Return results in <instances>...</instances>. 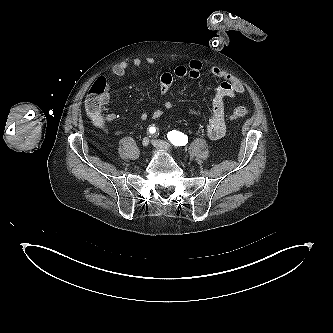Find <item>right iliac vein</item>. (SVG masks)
<instances>
[{
  "instance_id": "right-iliac-vein-1",
  "label": "right iliac vein",
  "mask_w": 333,
  "mask_h": 333,
  "mask_svg": "<svg viewBox=\"0 0 333 333\" xmlns=\"http://www.w3.org/2000/svg\"><path fill=\"white\" fill-rule=\"evenodd\" d=\"M142 145L144 147H147L149 145V138L148 137L143 138Z\"/></svg>"
}]
</instances>
